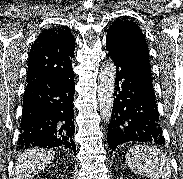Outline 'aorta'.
Here are the masks:
<instances>
[{"label":"aorta","instance_id":"1","mask_svg":"<svg viewBox=\"0 0 183 179\" xmlns=\"http://www.w3.org/2000/svg\"><path fill=\"white\" fill-rule=\"evenodd\" d=\"M115 66L114 63L106 60L99 74L98 100L100 115L106 123H109L112 116L114 103Z\"/></svg>","mask_w":183,"mask_h":179}]
</instances>
